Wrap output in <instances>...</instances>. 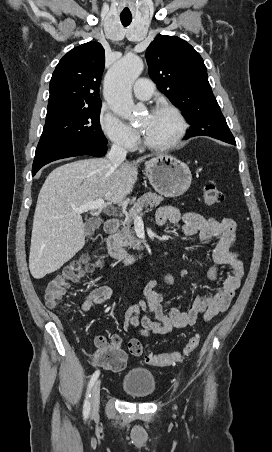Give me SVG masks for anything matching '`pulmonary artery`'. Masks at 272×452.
<instances>
[{
	"label": "pulmonary artery",
	"mask_w": 272,
	"mask_h": 452,
	"mask_svg": "<svg viewBox=\"0 0 272 452\" xmlns=\"http://www.w3.org/2000/svg\"><path fill=\"white\" fill-rule=\"evenodd\" d=\"M154 92L153 83L146 79L140 78L133 87L134 96L139 100H148Z\"/></svg>",
	"instance_id": "pulmonary-artery-1"
}]
</instances>
